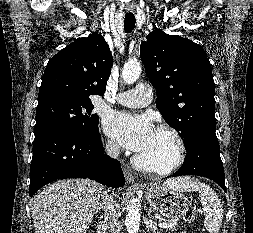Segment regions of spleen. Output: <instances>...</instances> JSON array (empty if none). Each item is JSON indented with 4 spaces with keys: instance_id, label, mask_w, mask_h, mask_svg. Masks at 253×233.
Here are the masks:
<instances>
[{
    "instance_id": "spleen-1",
    "label": "spleen",
    "mask_w": 253,
    "mask_h": 233,
    "mask_svg": "<svg viewBox=\"0 0 253 233\" xmlns=\"http://www.w3.org/2000/svg\"><path fill=\"white\" fill-rule=\"evenodd\" d=\"M165 185L181 192L198 191L205 214L204 226L210 233H218L223 220V206L219 196L207 184L198 179L181 177L165 182Z\"/></svg>"
}]
</instances>
